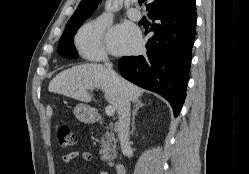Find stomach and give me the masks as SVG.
<instances>
[{
  "label": "stomach",
  "mask_w": 249,
  "mask_h": 174,
  "mask_svg": "<svg viewBox=\"0 0 249 174\" xmlns=\"http://www.w3.org/2000/svg\"><path fill=\"white\" fill-rule=\"evenodd\" d=\"M76 118L84 123H89L94 116L93 109L85 104H78L74 109Z\"/></svg>",
  "instance_id": "0dacf381"
}]
</instances>
